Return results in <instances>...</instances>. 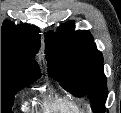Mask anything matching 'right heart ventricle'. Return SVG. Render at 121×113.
I'll use <instances>...</instances> for the list:
<instances>
[{"label": "right heart ventricle", "mask_w": 121, "mask_h": 113, "mask_svg": "<svg viewBox=\"0 0 121 113\" xmlns=\"http://www.w3.org/2000/svg\"><path fill=\"white\" fill-rule=\"evenodd\" d=\"M60 105H61L60 102H55V103L52 104V105H51L50 103H44V104L40 107V109L45 110L44 113H51V110H53V109L62 108V107H60ZM31 109H33V110H38L39 108H37V107H32Z\"/></svg>", "instance_id": "e07e8e85"}]
</instances>
